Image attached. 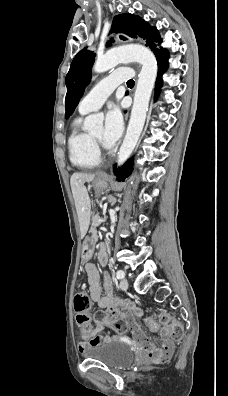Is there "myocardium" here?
I'll use <instances>...</instances> for the list:
<instances>
[{"label": "myocardium", "mask_w": 228, "mask_h": 396, "mask_svg": "<svg viewBox=\"0 0 228 396\" xmlns=\"http://www.w3.org/2000/svg\"><path fill=\"white\" fill-rule=\"evenodd\" d=\"M91 136H92L93 142H94L98 152L100 153V151L102 149H105L106 147L102 144L100 139L96 138L94 135H91Z\"/></svg>", "instance_id": "obj_1"}]
</instances>
